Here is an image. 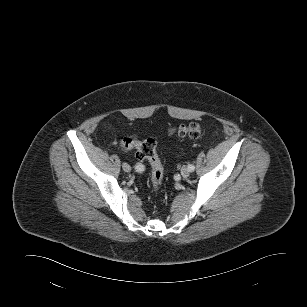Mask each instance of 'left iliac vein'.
Listing matches in <instances>:
<instances>
[{
    "mask_svg": "<svg viewBox=\"0 0 307 307\" xmlns=\"http://www.w3.org/2000/svg\"><path fill=\"white\" fill-rule=\"evenodd\" d=\"M189 174H190V170L188 169V167L187 166H183L181 168V175H182V177L186 178V177L189 176Z\"/></svg>",
    "mask_w": 307,
    "mask_h": 307,
    "instance_id": "1",
    "label": "left iliac vein"
}]
</instances>
